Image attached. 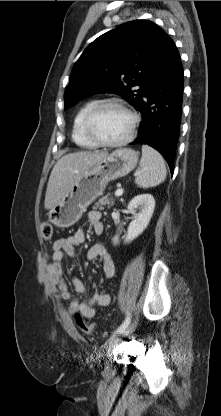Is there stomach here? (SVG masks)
<instances>
[{"label": "stomach", "mask_w": 221, "mask_h": 416, "mask_svg": "<svg viewBox=\"0 0 221 416\" xmlns=\"http://www.w3.org/2000/svg\"><path fill=\"white\" fill-rule=\"evenodd\" d=\"M138 162V153L130 148H120L108 154L83 172L71 189L49 211V221L60 228L74 225L87 207L101 196L107 184L127 175Z\"/></svg>", "instance_id": "stomach-1"}]
</instances>
